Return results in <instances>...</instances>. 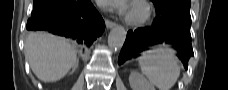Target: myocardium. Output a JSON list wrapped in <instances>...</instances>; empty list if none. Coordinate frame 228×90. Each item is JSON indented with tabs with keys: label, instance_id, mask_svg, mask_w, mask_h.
<instances>
[{
	"label": "myocardium",
	"instance_id": "1",
	"mask_svg": "<svg viewBox=\"0 0 228 90\" xmlns=\"http://www.w3.org/2000/svg\"><path fill=\"white\" fill-rule=\"evenodd\" d=\"M132 7H138L141 9V15L134 17L129 12L125 16V21L131 26H141L149 21L152 15L150 5L143 0H135L131 3L130 9Z\"/></svg>",
	"mask_w": 228,
	"mask_h": 90
}]
</instances>
